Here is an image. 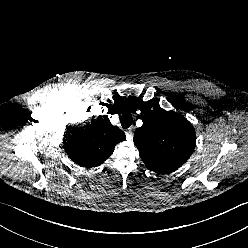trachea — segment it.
<instances>
[{
	"mask_svg": "<svg viewBox=\"0 0 248 248\" xmlns=\"http://www.w3.org/2000/svg\"><path fill=\"white\" fill-rule=\"evenodd\" d=\"M133 123V117L130 112H124L121 116V125L124 129L129 128Z\"/></svg>",
	"mask_w": 248,
	"mask_h": 248,
	"instance_id": "obj_1",
	"label": "trachea"
}]
</instances>
